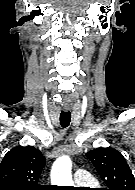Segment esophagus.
Returning a JSON list of instances; mask_svg holds the SVG:
<instances>
[{"mask_svg": "<svg viewBox=\"0 0 135 190\" xmlns=\"http://www.w3.org/2000/svg\"><path fill=\"white\" fill-rule=\"evenodd\" d=\"M71 109V106L69 105V104H64L63 105V110L64 111H68V110H70Z\"/></svg>", "mask_w": 135, "mask_h": 190, "instance_id": "34e87169", "label": "esophagus"}]
</instances>
